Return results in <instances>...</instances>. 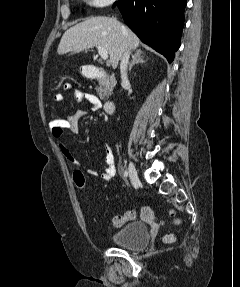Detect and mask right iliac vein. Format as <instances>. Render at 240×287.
<instances>
[{
    "mask_svg": "<svg viewBox=\"0 0 240 287\" xmlns=\"http://www.w3.org/2000/svg\"><path fill=\"white\" fill-rule=\"evenodd\" d=\"M129 177L134 184L139 183V177L136 168L132 162H129L128 166Z\"/></svg>",
    "mask_w": 240,
    "mask_h": 287,
    "instance_id": "1",
    "label": "right iliac vein"
}]
</instances>
